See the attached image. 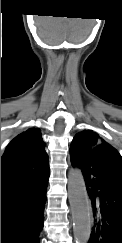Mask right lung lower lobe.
I'll return each instance as SVG.
<instances>
[{
	"label": "right lung lower lobe",
	"mask_w": 122,
	"mask_h": 243,
	"mask_svg": "<svg viewBox=\"0 0 122 243\" xmlns=\"http://www.w3.org/2000/svg\"><path fill=\"white\" fill-rule=\"evenodd\" d=\"M49 169L1 188V243H39Z\"/></svg>",
	"instance_id": "obj_1"
}]
</instances>
